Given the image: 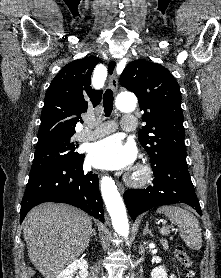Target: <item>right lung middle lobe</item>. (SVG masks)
Returning <instances> with one entry per match:
<instances>
[{"instance_id": "obj_1", "label": "right lung middle lobe", "mask_w": 221, "mask_h": 278, "mask_svg": "<svg viewBox=\"0 0 221 278\" xmlns=\"http://www.w3.org/2000/svg\"><path fill=\"white\" fill-rule=\"evenodd\" d=\"M74 149L71 136L38 142L30 174L52 164L79 159L82 154L75 152Z\"/></svg>"}]
</instances>
